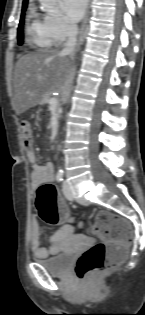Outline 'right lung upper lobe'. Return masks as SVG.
Segmentation results:
<instances>
[{"label": "right lung upper lobe", "instance_id": "cb5924a9", "mask_svg": "<svg viewBox=\"0 0 145 315\" xmlns=\"http://www.w3.org/2000/svg\"><path fill=\"white\" fill-rule=\"evenodd\" d=\"M27 2H28V0L23 1V7L27 6Z\"/></svg>", "mask_w": 145, "mask_h": 315}]
</instances>
